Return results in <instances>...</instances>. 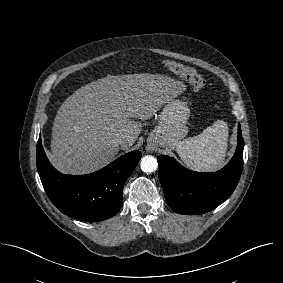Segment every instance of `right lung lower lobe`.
I'll return each instance as SVG.
<instances>
[{
  "label": "right lung lower lobe",
  "mask_w": 283,
  "mask_h": 283,
  "mask_svg": "<svg viewBox=\"0 0 283 283\" xmlns=\"http://www.w3.org/2000/svg\"><path fill=\"white\" fill-rule=\"evenodd\" d=\"M141 156V152L135 150L97 172L63 175L46 157L41 138L37 143V169L49 199L62 213L89 222L108 219L119 210L124 183Z\"/></svg>",
  "instance_id": "obj_1"
}]
</instances>
